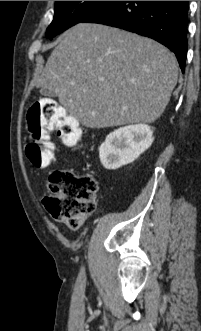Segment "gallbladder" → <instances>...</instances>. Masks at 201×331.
Masks as SVG:
<instances>
[{"instance_id": "obj_1", "label": "gallbladder", "mask_w": 201, "mask_h": 331, "mask_svg": "<svg viewBox=\"0 0 201 331\" xmlns=\"http://www.w3.org/2000/svg\"><path fill=\"white\" fill-rule=\"evenodd\" d=\"M40 93L44 97H50V98H52V97H56L57 96L53 91L48 90V89H43V88L40 90Z\"/></svg>"}]
</instances>
